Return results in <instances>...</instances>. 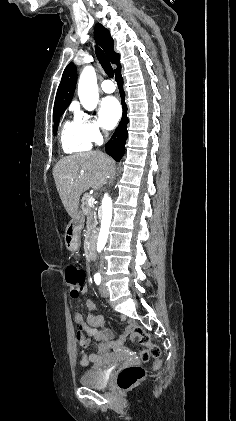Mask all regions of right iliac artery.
<instances>
[{
  "mask_svg": "<svg viewBox=\"0 0 236 421\" xmlns=\"http://www.w3.org/2000/svg\"><path fill=\"white\" fill-rule=\"evenodd\" d=\"M94 281L97 285H100L101 283V275L99 273L94 275Z\"/></svg>",
  "mask_w": 236,
  "mask_h": 421,
  "instance_id": "right-iliac-artery-1",
  "label": "right iliac artery"
}]
</instances>
